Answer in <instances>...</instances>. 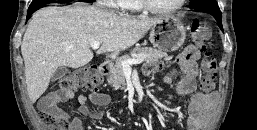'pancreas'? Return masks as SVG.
Here are the masks:
<instances>
[{
    "label": "pancreas",
    "mask_w": 257,
    "mask_h": 130,
    "mask_svg": "<svg viewBox=\"0 0 257 130\" xmlns=\"http://www.w3.org/2000/svg\"><path fill=\"white\" fill-rule=\"evenodd\" d=\"M167 53L150 47H136L130 51V55L126 54L116 59L115 64L111 68V73L107 79L108 84L112 85L115 90L125 87V74L122 68V62L133 58H142L147 64L153 65L166 57Z\"/></svg>",
    "instance_id": "obj_1"
}]
</instances>
